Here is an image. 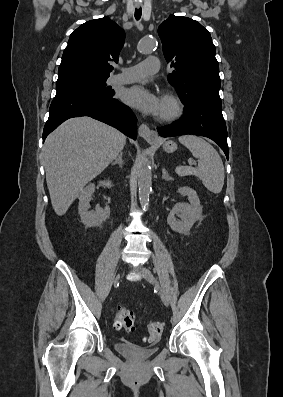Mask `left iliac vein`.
I'll list each match as a JSON object with an SVG mask.
<instances>
[{
	"label": "left iliac vein",
	"instance_id": "obj_1",
	"mask_svg": "<svg viewBox=\"0 0 283 397\" xmlns=\"http://www.w3.org/2000/svg\"><path fill=\"white\" fill-rule=\"evenodd\" d=\"M139 271L141 272V274L143 275V277L145 278L146 281H148L151 284L156 283V280H155L153 274L146 267L140 266ZM159 294H160V298H161L163 304L165 306H168L169 300H168L166 294L162 290L159 291Z\"/></svg>",
	"mask_w": 283,
	"mask_h": 397
}]
</instances>
